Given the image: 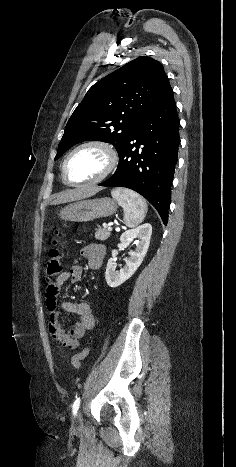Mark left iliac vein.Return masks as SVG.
Returning <instances> with one entry per match:
<instances>
[{
  "label": "left iliac vein",
  "instance_id": "obj_1",
  "mask_svg": "<svg viewBox=\"0 0 236 467\" xmlns=\"http://www.w3.org/2000/svg\"><path fill=\"white\" fill-rule=\"evenodd\" d=\"M74 426L75 427H79L81 424H82V415H81V412H79L76 417H75V421H74Z\"/></svg>",
  "mask_w": 236,
  "mask_h": 467
}]
</instances>
